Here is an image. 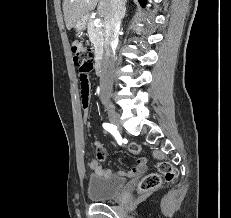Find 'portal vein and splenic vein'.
I'll list each match as a JSON object with an SVG mask.
<instances>
[{"label":"portal vein and splenic vein","instance_id":"18ae733b","mask_svg":"<svg viewBox=\"0 0 231 218\" xmlns=\"http://www.w3.org/2000/svg\"><path fill=\"white\" fill-rule=\"evenodd\" d=\"M94 25H95L96 27H100V26L102 25L101 19H100V18L95 19V20H94Z\"/></svg>","mask_w":231,"mask_h":218}]
</instances>
